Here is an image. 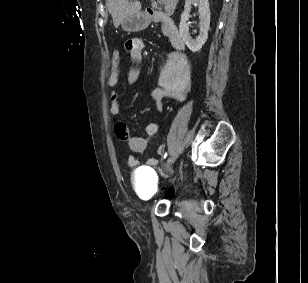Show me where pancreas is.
Here are the masks:
<instances>
[{"label": "pancreas", "mask_w": 308, "mask_h": 283, "mask_svg": "<svg viewBox=\"0 0 308 283\" xmlns=\"http://www.w3.org/2000/svg\"><path fill=\"white\" fill-rule=\"evenodd\" d=\"M162 31H163V33L166 35L167 34V30H166V27L163 25L162 26Z\"/></svg>", "instance_id": "cf45deb5"}]
</instances>
